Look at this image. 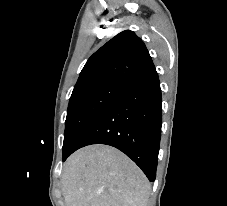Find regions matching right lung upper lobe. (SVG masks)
Wrapping results in <instances>:
<instances>
[{"instance_id": "right-lung-upper-lobe-1", "label": "right lung upper lobe", "mask_w": 227, "mask_h": 206, "mask_svg": "<svg viewBox=\"0 0 227 206\" xmlns=\"http://www.w3.org/2000/svg\"><path fill=\"white\" fill-rule=\"evenodd\" d=\"M153 68L154 64L144 42L133 31L125 30L88 59L73 91L107 79L129 82Z\"/></svg>"}]
</instances>
